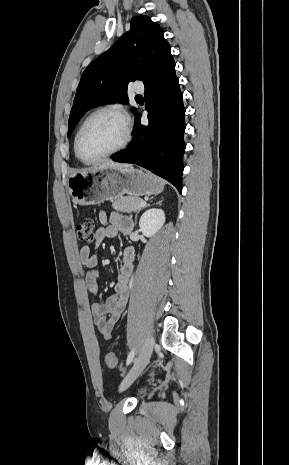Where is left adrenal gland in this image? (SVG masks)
Segmentation results:
<instances>
[{"mask_svg": "<svg viewBox=\"0 0 289 465\" xmlns=\"http://www.w3.org/2000/svg\"><path fill=\"white\" fill-rule=\"evenodd\" d=\"M161 203H162V200H160L157 204H161ZM137 215H138V213H137L136 216H135V224H136V222H137Z\"/></svg>", "mask_w": 289, "mask_h": 465, "instance_id": "1", "label": "left adrenal gland"}]
</instances>
